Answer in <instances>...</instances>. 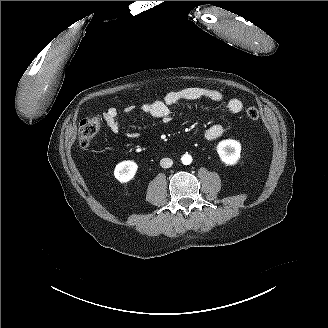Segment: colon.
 <instances>
[{"label": "colon", "instance_id": "1", "mask_svg": "<svg viewBox=\"0 0 328 328\" xmlns=\"http://www.w3.org/2000/svg\"><path fill=\"white\" fill-rule=\"evenodd\" d=\"M259 111L256 107H249L246 116L250 120L259 119ZM100 130V121L96 117H86L79 124V144L82 148H87Z\"/></svg>", "mask_w": 328, "mask_h": 328}]
</instances>
